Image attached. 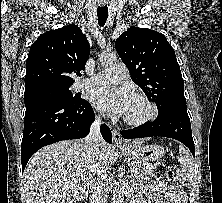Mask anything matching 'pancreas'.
Listing matches in <instances>:
<instances>
[{
    "instance_id": "pancreas-1",
    "label": "pancreas",
    "mask_w": 222,
    "mask_h": 203,
    "mask_svg": "<svg viewBox=\"0 0 222 203\" xmlns=\"http://www.w3.org/2000/svg\"><path fill=\"white\" fill-rule=\"evenodd\" d=\"M132 171L131 176L134 180L140 181L143 180L146 176L153 174V171L156 169V164H149L145 161L135 160L132 162Z\"/></svg>"
}]
</instances>
